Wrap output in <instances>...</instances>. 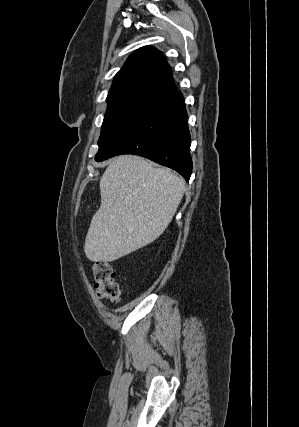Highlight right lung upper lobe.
Wrapping results in <instances>:
<instances>
[{"mask_svg":"<svg viewBox=\"0 0 299 427\" xmlns=\"http://www.w3.org/2000/svg\"><path fill=\"white\" fill-rule=\"evenodd\" d=\"M176 91L163 54L145 46L134 51L115 75L106 100L139 98L156 102Z\"/></svg>","mask_w":299,"mask_h":427,"instance_id":"1","label":"right lung upper lobe"}]
</instances>
